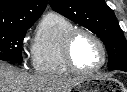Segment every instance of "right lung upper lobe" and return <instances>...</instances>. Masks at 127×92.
I'll return each mask as SVG.
<instances>
[{
  "mask_svg": "<svg viewBox=\"0 0 127 92\" xmlns=\"http://www.w3.org/2000/svg\"><path fill=\"white\" fill-rule=\"evenodd\" d=\"M47 0H0V28L33 25Z\"/></svg>",
  "mask_w": 127,
  "mask_h": 92,
  "instance_id": "obj_1",
  "label": "right lung upper lobe"
}]
</instances>
